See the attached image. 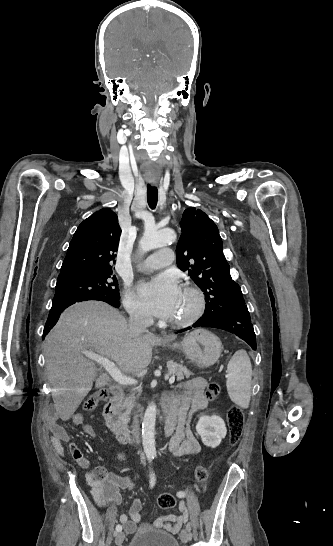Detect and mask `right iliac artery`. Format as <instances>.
<instances>
[{
	"mask_svg": "<svg viewBox=\"0 0 333 546\" xmlns=\"http://www.w3.org/2000/svg\"><path fill=\"white\" fill-rule=\"evenodd\" d=\"M150 476H151V479H150V487H153L154 484H155V476H154L153 473H151ZM121 530H122V526H121L120 524H118V525L116 526V531H117V532H120Z\"/></svg>",
	"mask_w": 333,
	"mask_h": 546,
	"instance_id": "right-iliac-artery-1",
	"label": "right iliac artery"
}]
</instances>
